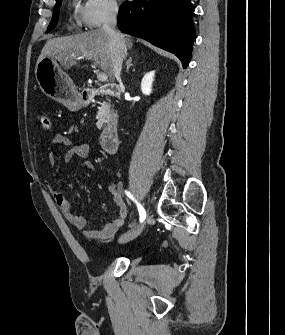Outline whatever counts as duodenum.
Returning a JSON list of instances; mask_svg holds the SVG:
<instances>
[{"instance_id":"duodenum-1","label":"duodenum","mask_w":285,"mask_h":335,"mask_svg":"<svg viewBox=\"0 0 285 335\" xmlns=\"http://www.w3.org/2000/svg\"><path fill=\"white\" fill-rule=\"evenodd\" d=\"M99 94H105L112 97H119L120 88L115 84H107L100 88H90L83 92V99L85 101L91 100L93 97ZM100 143L102 148L107 153H115L119 146V126L118 119L112 116L102 128L100 134Z\"/></svg>"}]
</instances>
